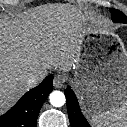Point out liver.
<instances>
[{"label": "liver", "instance_id": "liver-1", "mask_svg": "<svg viewBox=\"0 0 127 127\" xmlns=\"http://www.w3.org/2000/svg\"><path fill=\"white\" fill-rule=\"evenodd\" d=\"M87 20L80 8L65 4L0 18V114L30 89V76L74 67Z\"/></svg>", "mask_w": 127, "mask_h": 127}]
</instances>
